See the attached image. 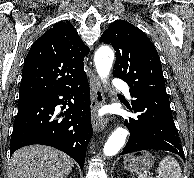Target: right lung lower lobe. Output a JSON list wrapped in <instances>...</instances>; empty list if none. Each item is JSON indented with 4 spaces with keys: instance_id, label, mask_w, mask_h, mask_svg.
Instances as JSON below:
<instances>
[{
    "instance_id": "obj_1",
    "label": "right lung lower lobe",
    "mask_w": 194,
    "mask_h": 178,
    "mask_svg": "<svg viewBox=\"0 0 194 178\" xmlns=\"http://www.w3.org/2000/svg\"><path fill=\"white\" fill-rule=\"evenodd\" d=\"M58 104H62V108L69 106L62 114L64 119H58L54 114ZM92 134L90 91L86 79L73 87L19 100L10 153L26 145H49L71 156L83 169Z\"/></svg>"
}]
</instances>
